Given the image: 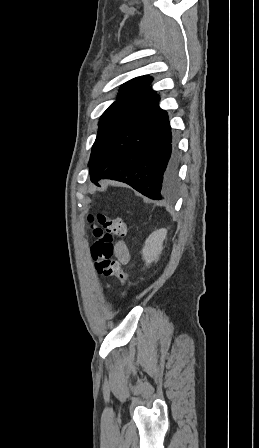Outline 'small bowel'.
Here are the masks:
<instances>
[{"label":"small bowel","mask_w":259,"mask_h":448,"mask_svg":"<svg viewBox=\"0 0 259 448\" xmlns=\"http://www.w3.org/2000/svg\"><path fill=\"white\" fill-rule=\"evenodd\" d=\"M114 252L121 265H126L130 261L129 249L125 242L119 241L115 244Z\"/></svg>","instance_id":"1"}]
</instances>
